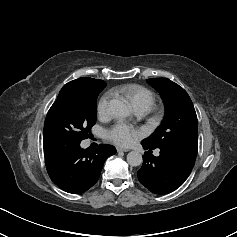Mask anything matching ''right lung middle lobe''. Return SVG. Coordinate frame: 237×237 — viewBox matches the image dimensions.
Masks as SVG:
<instances>
[{
  "mask_svg": "<svg viewBox=\"0 0 237 237\" xmlns=\"http://www.w3.org/2000/svg\"><path fill=\"white\" fill-rule=\"evenodd\" d=\"M105 82L88 85L78 80L65 84L51 106L44 123V136H57L81 142L96 122L99 93Z\"/></svg>",
  "mask_w": 237,
  "mask_h": 237,
  "instance_id": "1",
  "label": "right lung middle lobe"
}]
</instances>
